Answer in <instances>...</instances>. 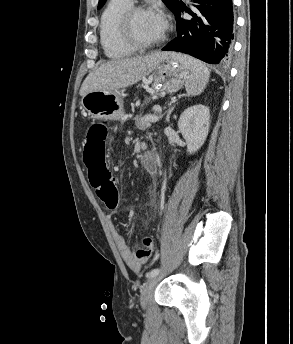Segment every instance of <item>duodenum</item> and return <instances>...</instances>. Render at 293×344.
Here are the masks:
<instances>
[{
	"instance_id": "obj_1",
	"label": "duodenum",
	"mask_w": 293,
	"mask_h": 344,
	"mask_svg": "<svg viewBox=\"0 0 293 344\" xmlns=\"http://www.w3.org/2000/svg\"><path fill=\"white\" fill-rule=\"evenodd\" d=\"M140 164L144 167H146L147 169H152V168H157V164L154 161V157L152 155V153L150 152H146L144 154L141 155L140 157Z\"/></svg>"
}]
</instances>
